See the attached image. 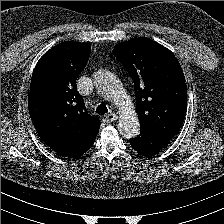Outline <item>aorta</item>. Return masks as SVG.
<instances>
[{
    "instance_id": "aorta-1",
    "label": "aorta",
    "mask_w": 224,
    "mask_h": 224,
    "mask_svg": "<svg viewBox=\"0 0 224 224\" xmlns=\"http://www.w3.org/2000/svg\"><path fill=\"white\" fill-rule=\"evenodd\" d=\"M96 85L101 93L120 111L121 118L118 129L126 138H133L139 134V119L130 96L123 89L120 81L110 72L100 73L96 78Z\"/></svg>"
}]
</instances>
